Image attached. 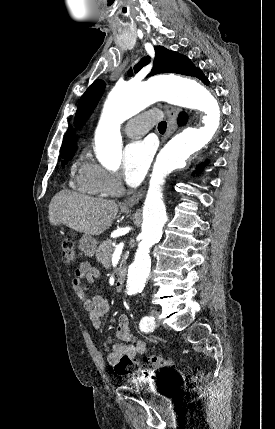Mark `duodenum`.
<instances>
[{"mask_svg": "<svg viewBox=\"0 0 275 429\" xmlns=\"http://www.w3.org/2000/svg\"><path fill=\"white\" fill-rule=\"evenodd\" d=\"M124 281H125L124 275L123 274H119L117 276V278H116V281H115V289L117 291H121L122 290V288L124 286Z\"/></svg>", "mask_w": 275, "mask_h": 429, "instance_id": "1", "label": "duodenum"}]
</instances>
